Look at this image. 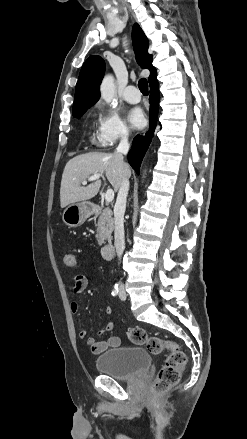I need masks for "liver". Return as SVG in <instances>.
Returning <instances> with one entry per match:
<instances>
[{"label":"liver","mask_w":247,"mask_h":439,"mask_svg":"<svg viewBox=\"0 0 247 439\" xmlns=\"http://www.w3.org/2000/svg\"><path fill=\"white\" fill-rule=\"evenodd\" d=\"M104 172L115 190L120 188L125 176L129 178L131 175L129 166L126 163L122 165L115 153L92 152L70 159L62 174L61 208L93 198L101 187V180L97 179L86 187L81 183L94 174Z\"/></svg>","instance_id":"liver-1"}]
</instances>
